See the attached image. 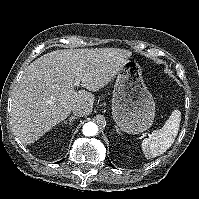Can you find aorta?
<instances>
[{"label":"aorta","instance_id":"1","mask_svg":"<svg viewBox=\"0 0 199 199\" xmlns=\"http://www.w3.org/2000/svg\"><path fill=\"white\" fill-rule=\"evenodd\" d=\"M82 132L85 136H94L98 133V126L93 122L84 124Z\"/></svg>","mask_w":199,"mask_h":199}]
</instances>
